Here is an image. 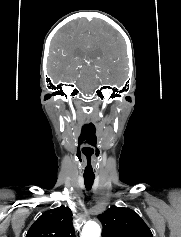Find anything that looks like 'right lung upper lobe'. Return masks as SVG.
<instances>
[{"label":"right lung upper lobe","instance_id":"right-lung-upper-lobe-1","mask_svg":"<svg viewBox=\"0 0 181 237\" xmlns=\"http://www.w3.org/2000/svg\"><path fill=\"white\" fill-rule=\"evenodd\" d=\"M26 237H75L70 208L60 206L44 212L30 227Z\"/></svg>","mask_w":181,"mask_h":237}]
</instances>
